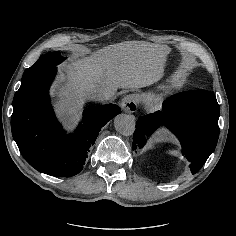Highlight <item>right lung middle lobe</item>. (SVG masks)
I'll return each mask as SVG.
<instances>
[{
	"label": "right lung middle lobe",
	"instance_id": "dd1d6c3e",
	"mask_svg": "<svg viewBox=\"0 0 236 236\" xmlns=\"http://www.w3.org/2000/svg\"><path fill=\"white\" fill-rule=\"evenodd\" d=\"M63 60L64 57L60 55V52H51L42 55L32 67L25 70L22 80L36 72L56 66Z\"/></svg>",
	"mask_w": 236,
	"mask_h": 236
}]
</instances>
